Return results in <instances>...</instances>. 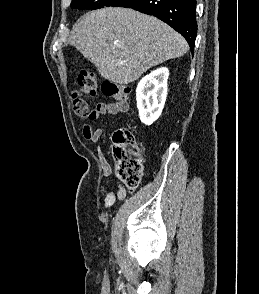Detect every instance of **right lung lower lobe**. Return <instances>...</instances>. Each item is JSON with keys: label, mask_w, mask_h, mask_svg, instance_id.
Masks as SVG:
<instances>
[{"label": "right lung lower lobe", "mask_w": 259, "mask_h": 294, "mask_svg": "<svg viewBox=\"0 0 259 294\" xmlns=\"http://www.w3.org/2000/svg\"><path fill=\"white\" fill-rule=\"evenodd\" d=\"M120 7L153 15L179 32L194 51L197 34L196 0H129Z\"/></svg>", "instance_id": "right-lung-lower-lobe-1"}]
</instances>
